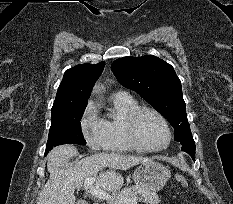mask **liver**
Wrapping results in <instances>:
<instances>
[{"label": "liver", "instance_id": "obj_1", "mask_svg": "<svg viewBox=\"0 0 233 204\" xmlns=\"http://www.w3.org/2000/svg\"><path fill=\"white\" fill-rule=\"evenodd\" d=\"M77 155L78 151L73 145H60L50 151L47 159L50 177L39 193L37 204H75V189L81 187L86 179L96 176L95 187L117 191L124 183L119 170L152 161L117 153H97L65 168L64 164Z\"/></svg>", "mask_w": 233, "mask_h": 204}]
</instances>
